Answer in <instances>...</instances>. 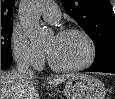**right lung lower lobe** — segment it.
<instances>
[{"label": "right lung lower lobe", "instance_id": "1", "mask_svg": "<svg viewBox=\"0 0 115 99\" xmlns=\"http://www.w3.org/2000/svg\"><path fill=\"white\" fill-rule=\"evenodd\" d=\"M11 65V60L6 61V60H1V70L8 69Z\"/></svg>", "mask_w": 115, "mask_h": 99}]
</instances>
